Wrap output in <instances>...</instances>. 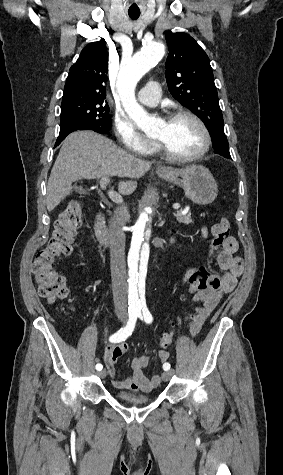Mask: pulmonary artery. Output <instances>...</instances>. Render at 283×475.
Returning a JSON list of instances; mask_svg holds the SVG:
<instances>
[{
    "mask_svg": "<svg viewBox=\"0 0 283 475\" xmlns=\"http://www.w3.org/2000/svg\"><path fill=\"white\" fill-rule=\"evenodd\" d=\"M161 83L159 80H150L144 87L138 91V100L144 104L156 105L161 99ZM116 90H135V89H116Z\"/></svg>",
    "mask_w": 283,
    "mask_h": 475,
    "instance_id": "obj_1",
    "label": "pulmonary artery"
}]
</instances>
